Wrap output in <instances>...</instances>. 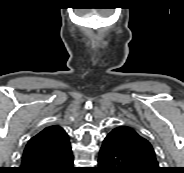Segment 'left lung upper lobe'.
I'll return each instance as SVG.
<instances>
[{
	"label": "left lung upper lobe",
	"instance_id": "left-lung-upper-lobe-1",
	"mask_svg": "<svg viewBox=\"0 0 184 173\" xmlns=\"http://www.w3.org/2000/svg\"><path fill=\"white\" fill-rule=\"evenodd\" d=\"M110 133L116 135L117 145L129 156L137 169L143 173L161 172L153 147L134 128L123 125Z\"/></svg>",
	"mask_w": 184,
	"mask_h": 173
}]
</instances>
